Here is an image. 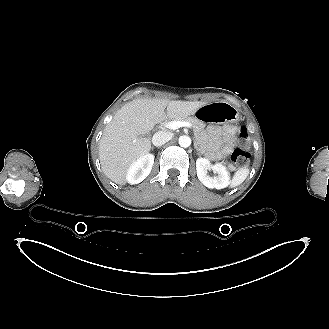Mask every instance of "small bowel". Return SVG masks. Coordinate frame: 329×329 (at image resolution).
Here are the masks:
<instances>
[{"label": "small bowel", "instance_id": "obj_1", "mask_svg": "<svg viewBox=\"0 0 329 329\" xmlns=\"http://www.w3.org/2000/svg\"><path fill=\"white\" fill-rule=\"evenodd\" d=\"M237 131V127L234 126L225 128L219 126L209 127L210 149L214 158H222L233 151L237 143Z\"/></svg>", "mask_w": 329, "mask_h": 329}]
</instances>
